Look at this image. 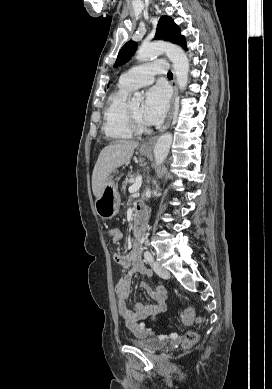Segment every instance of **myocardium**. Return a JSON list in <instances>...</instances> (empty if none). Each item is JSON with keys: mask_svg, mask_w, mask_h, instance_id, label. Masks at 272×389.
<instances>
[{"mask_svg": "<svg viewBox=\"0 0 272 389\" xmlns=\"http://www.w3.org/2000/svg\"><path fill=\"white\" fill-rule=\"evenodd\" d=\"M126 115L128 125L134 134L141 135L149 132V127L139 122L129 105L127 106Z\"/></svg>", "mask_w": 272, "mask_h": 389, "instance_id": "f54148a6", "label": "myocardium"}]
</instances>
